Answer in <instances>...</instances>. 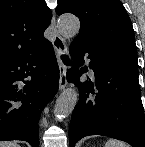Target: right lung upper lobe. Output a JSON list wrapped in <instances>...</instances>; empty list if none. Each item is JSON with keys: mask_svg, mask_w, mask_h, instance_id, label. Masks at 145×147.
Returning <instances> with one entry per match:
<instances>
[{"mask_svg": "<svg viewBox=\"0 0 145 147\" xmlns=\"http://www.w3.org/2000/svg\"><path fill=\"white\" fill-rule=\"evenodd\" d=\"M51 18L44 0H0V66L46 43Z\"/></svg>", "mask_w": 145, "mask_h": 147, "instance_id": "cb5924a9", "label": "right lung upper lobe"}]
</instances>
